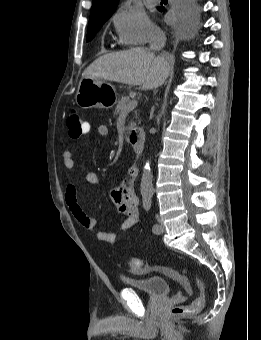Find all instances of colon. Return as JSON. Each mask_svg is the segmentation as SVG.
<instances>
[{
  "instance_id": "1",
  "label": "colon",
  "mask_w": 261,
  "mask_h": 340,
  "mask_svg": "<svg viewBox=\"0 0 261 340\" xmlns=\"http://www.w3.org/2000/svg\"><path fill=\"white\" fill-rule=\"evenodd\" d=\"M66 123L71 138L77 139L85 134V121L76 110L70 111ZM128 267L132 271H139L141 260L138 258H130L128 260ZM194 280L199 290L197 297L188 305L174 307L171 311L172 315L180 316L183 314H193L199 312L203 308L205 303L204 285L198 277H194Z\"/></svg>"
}]
</instances>
